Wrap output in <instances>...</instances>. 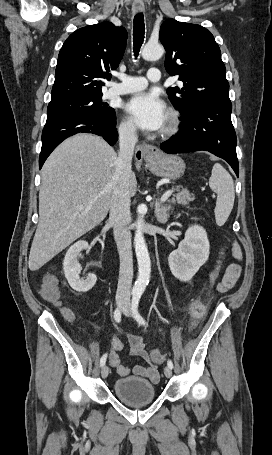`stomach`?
Segmentation results:
<instances>
[{
    "mask_svg": "<svg viewBox=\"0 0 272 455\" xmlns=\"http://www.w3.org/2000/svg\"><path fill=\"white\" fill-rule=\"evenodd\" d=\"M146 165L153 174L169 179L180 178L186 168L182 158L177 155L165 154H160L151 160H146Z\"/></svg>",
    "mask_w": 272,
    "mask_h": 455,
    "instance_id": "stomach-1",
    "label": "stomach"
}]
</instances>
